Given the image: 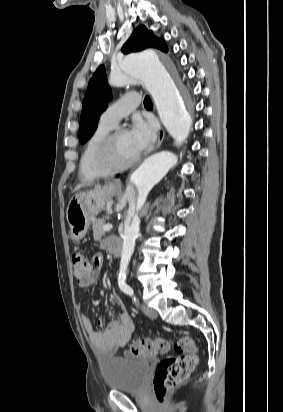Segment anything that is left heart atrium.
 Returning a JSON list of instances; mask_svg holds the SVG:
<instances>
[{
  "instance_id": "39dd6f15",
  "label": "left heart atrium",
  "mask_w": 283,
  "mask_h": 412,
  "mask_svg": "<svg viewBox=\"0 0 283 412\" xmlns=\"http://www.w3.org/2000/svg\"><path fill=\"white\" fill-rule=\"evenodd\" d=\"M128 135L137 153H141L155 140L156 128L154 121H145L141 118L135 119Z\"/></svg>"
}]
</instances>
